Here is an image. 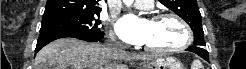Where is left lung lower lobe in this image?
I'll return each mask as SVG.
<instances>
[{
    "label": "left lung lower lobe",
    "mask_w": 246,
    "mask_h": 69,
    "mask_svg": "<svg viewBox=\"0 0 246 69\" xmlns=\"http://www.w3.org/2000/svg\"><path fill=\"white\" fill-rule=\"evenodd\" d=\"M186 51H190V52H194L197 55H199L200 57H202L203 59H205L206 61H209V54L208 52L202 48V47H198V46H191L189 48L186 49Z\"/></svg>",
    "instance_id": "left-lung-lower-lobe-1"
}]
</instances>
